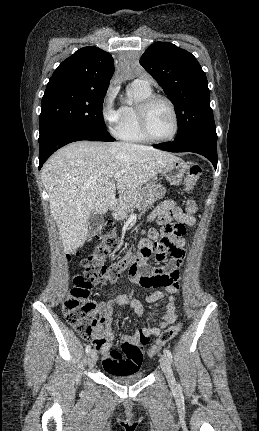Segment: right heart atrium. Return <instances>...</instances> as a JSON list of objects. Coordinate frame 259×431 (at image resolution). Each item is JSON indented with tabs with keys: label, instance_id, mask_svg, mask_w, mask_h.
I'll use <instances>...</instances> for the list:
<instances>
[{
	"label": "right heart atrium",
	"instance_id": "1",
	"mask_svg": "<svg viewBox=\"0 0 259 431\" xmlns=\"http://www.w3.org/2000/svg\"><path fill=\"white\" fill-rule=\"evenodd\" d=\"M118 88L115 85H111L103 98L101 104V115L106 126L113 132L117 128L120 121V109L116 107V97Z\"/></svg>",
	"mask_w": 259,
	"mask_h": 431
}]
</instances>
